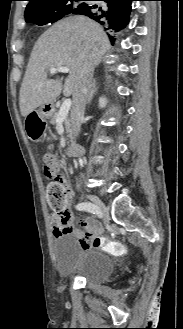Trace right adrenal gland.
<instances>
[{
    "instance_id": "right-adrenal-gland-1",
    "label": "right adrenal gland",
    "mask_w": 183,
    "mask_h": 329,
    "mask_svg": "<svg viewBox=\"0 0 183 329\" xmlns=\"http://www.w3.org/2000/svg\"><path fill=\"white\" fill-rule=\"evenodd\" d=\"M98 90L97 84H96V79L93 80V85L92 88L89 92L88 98H87V103H91L92 99H93V95L95 94V92Z\"/></svg>"
}]
</instances>
